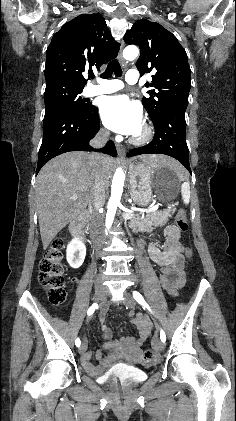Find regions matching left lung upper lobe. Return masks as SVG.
I'll return each instance as SVG.
<instances>
[{
	"label": "left lung upper lobe",
	"mask_w": 236,
	"mask_h": 421,
	"mask_svg": "<svg viewBox=\"0 0 236 421\" xmlns=\"http://www.w3.org/2000/svg\"><path fill=\"white\" fill-rule=\"evenodd\" d=\"M124 41L139 46L136 67L141 75L154 73L146 86L155 89L147 92L150 97L142 99L151 120L158 119L171 106L187 107L191 70L177 38L160 24L142 19L127 31Z\"/></svg>",
	"instance_id": "5c2ea615"
}]
</instances>
